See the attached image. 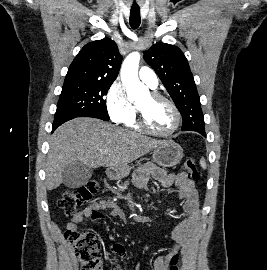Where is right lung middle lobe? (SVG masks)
<instances>
[{
    "mask_svg": "<svg viewBox=\"0 0 267 270\" xmlns=\"http://www.w3.org/2000/svg\"><path fill=\"white\" fill-rule=\"evenodd\" d=\"M112 83L65 81L55 116H102L109 119L104 96Z\"/></svg>",
    "mask_w": 267,
    "mask_h": 270,
    "instance_id": "dd1d6c3e",
    "label": "right lung middle lobe"
}]
</instances>
